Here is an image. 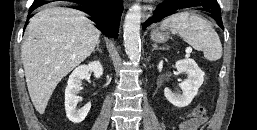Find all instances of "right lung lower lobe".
Returning <instances> with one entry per match:
<instances>
[{
	"label": "right lung lower lobe",
	"instance_id": "98d812e1",
	"mask_svg": "<svg viewBox=\"0 0 257 130\" xmlns=\"http://www.w3.org/2000/svg\"><path fill=\"white\" fill-rule=\"evenodd\" d=\"M46 4L45 2L35 0L29 11L32 12L36 8ZM85 13L89 14L90 20L96 23V27L108 37H118V26L123 6L114 0H96L84 5Z\"/></svg>",
	"mask_w": 257,
	"mask_h": 130
}]
</instances>
